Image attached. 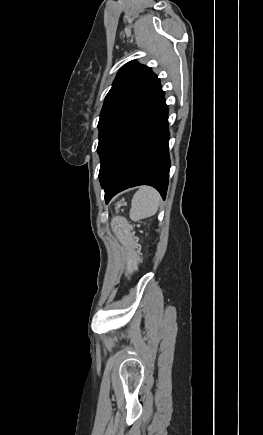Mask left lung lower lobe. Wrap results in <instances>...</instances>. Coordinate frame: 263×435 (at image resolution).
Masks as SVG:
<instances>
[{
	"label": "left lung lower lobe",
	"mask_w": 263,
	"mask_h": 435,
	"mask_svg": "<svg viewBox=\"0 0 263 435\" xmlns=\"http://www.w3.org/2000/svg\"><path fill=\"white\" fill-rule=\"evenodd\" d=\"M162 92L120 134L101 162L106 203L137 185L155 187L165 199L170 169L168 107Z\"/></svg>",
	"instance_id": "obj_1"
}]
</instances>
